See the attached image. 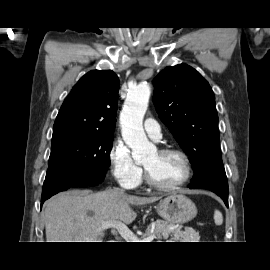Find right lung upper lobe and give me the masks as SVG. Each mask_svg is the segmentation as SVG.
Returning a JSON list of instances; mask_svg holds the SVG:
<instances>
[{
    "mask_svg": "<svg viewBox=\"0 0 270 270\" xmlns=\"http://www.w3.org/2000/svg\"><path fill=\"white\" fill-rule=\"evenodd\" d=\"M119 85V78L112 70L85 74L62 104L53 132L114 133Z\"/></svg>",
    "mask_w": 270,
    "mask_h": 270,
    "instance_id": "obj_1",
    "label": "right lung upper lobe"
}]
</instances>
